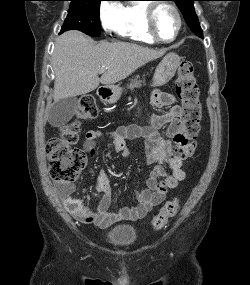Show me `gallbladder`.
I'll list each match as a JSON object with an SVG mask.
<instances>
[{
    "label": "gallbladder",
    "instance_id": "1",
    "mask_svg": "<svg viewBox=\"0 0 250 285\" xmlns=\"http://www.w3.org/2000/svg\"><path fill=\"white\" fill-rule=\"evenodd\" d=\"M77 104L76 97L61 99L56 102L49 110V123L55 127L66 124L74 116Z\"/></svg>",
    "mask_w": 250,
    "mask_h": 285
}]
</instances>
